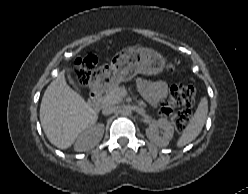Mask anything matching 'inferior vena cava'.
Returning <instances> with one entry per match:
<instances>
[{
	"instance_id": "1",
	"label": "inferior vena cava",
	"mask_w": 248,
	"mask_h": 194,
	"mask_svg": "<svg viewBox=\"0 0 248 194\" xmlns=\"http://www.w3.org/2000/svg\"><path fill=\"white\" fill-rule=\"evenodd\" d=\"M116 110H117V107L116 106H114V105H106L103 108L102 113L104 115H110V114L114 113Z\"/></svg>"
}]
</instances>
